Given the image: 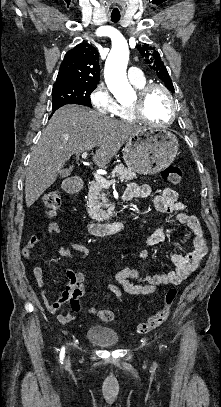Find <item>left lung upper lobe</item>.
<instances>
[{"label": "left lung upper lobe", "instance_id": "obj_1", "mask_svg": "<svg viewBox=\"0 0 221 407\" xmlns=\"http://www.w3.org/2000/svg\"><path fill=\"white\" fill-rule=\"evenodd\" d=\"M138 50L150 69H152L158 75V77L166 84V87L170 91L174 92L172 80L156 49L144 43L138 46Z\"/></svg>", "mask_w": 221, "mask_h": 407}]
</instances>
